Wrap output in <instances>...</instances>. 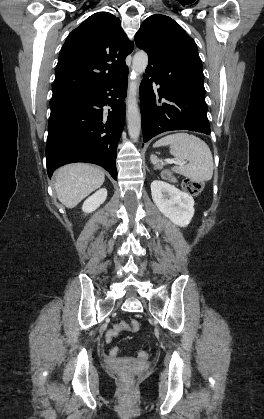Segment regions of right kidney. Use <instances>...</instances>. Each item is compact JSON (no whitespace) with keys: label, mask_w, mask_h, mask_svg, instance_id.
<instances>
[{"label":"right kidney","mask_w":264,"mask_h":419,"mask_svg":"<svg viewBox=\"0 0 264 419\" xmlns=\"http://www.w3.org/2000/svg\"><path fill=\"white\" fill-rule=\"evenodd\" d=\"M106 198L107 190L105 188L99 189L84 201L82 211L85 213H91L95 211L101 204L105 202Z\"/></svg>","instance_id":"1"}]
</instances>
